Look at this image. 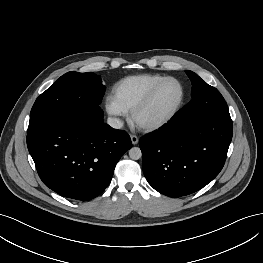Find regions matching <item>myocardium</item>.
I'll list each match as a JSON object with an SVG mask.
<instances>
[{
    "label": "myocardium",
    "mask_w": 263,
    "mask_h": 263,
    "mask_svg": "<svg viewBox=\"0 0 263 263\" xmlns=\"http://www.w3.org/2000/svg\"><path fill=\"white\" fill-rule=\"evenodd\" d=\"M168 80H174V81L178 82L179 85L181 86V89H182V96H181V99H180L178 105L176 106V108L171 113H169L165 117L160 118L158 120L148 122V123L138 122V120H137L138 116L144 110L147 109V107L150 105V103L153 100L158 89ZM186 97H187V89H186L184 83L179 78L174 77V76L163 77L161 80H159L156 84H154L150 88V90L147 92V94L144 96V98L132 109L131 115H130L131 121L140 130H143L145 132L155 131V130L165 126L166 124H168L170 121H172L177 116V114L181 111V109L183 108V106L185 104Z\"/></svg>",
    "instance_id": "f54148a6"
}]
</instances>
